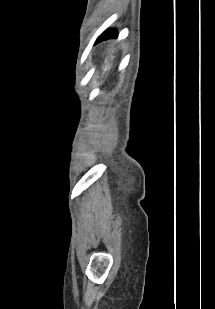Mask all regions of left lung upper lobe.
<instances>
[{"instance_id": "5c2ea615", "label": "left lung upper lobe", "mask_w": 215, "mask_h": 309, "mask_svg": "<svg viewBox=\"0 0 215 309\" xmlns=\"http://www.w3.org/2000/svg\"><path fill=\"white\" fill-rule=\"evenodd\" d=\"M117 36V32L115 30H107L105 31L102 35H100V37L97 39L96 43L109 39V38H113Z\"/></svg>"}]
</instances>
